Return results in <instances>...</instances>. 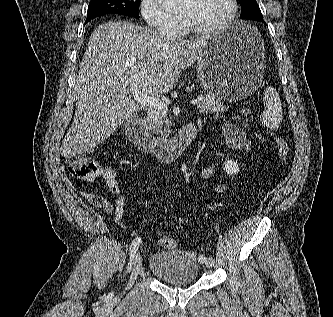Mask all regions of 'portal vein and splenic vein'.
Masks as SVG:
<instances>
[{"label": "portal vein and splenic vein", "mask_w": 333, "mask_h": 317, "mask_svg": "<svg viewBox=\"0 0 333 317\" xmlns=\"http://www.w3.org/2000/svg\"><path fill=\"white\" fill-rule=\"evenodd\" d=\"M130 92L137 103H140L141 105L147 106L154 110L167 112L168 106L165 104L164 101L155 97L148 96L147 94L141 92L136 85L130 86ZM201 99V97H199L198 99H194L191 101V104L198 105Z\"/></svg>", "instance_id": "1"}]
</instances>
